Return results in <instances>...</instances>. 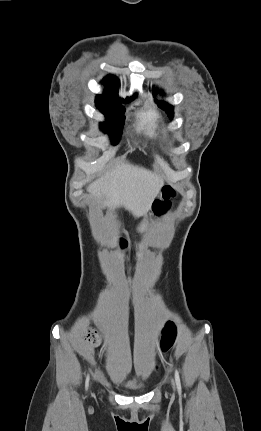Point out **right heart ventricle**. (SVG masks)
<instances>
[{
  "mask_svg": "<svg viewBox=\"0 0 261 431\" xmlns=\"http://www.w3.org/2000/svg\"><path fill=\"white\" fill-rule=\"evenodd\" d=\"M138 128L148 138L162 143L167 142L165 131L161 126L159 112L151 105H147L137 116Z\"/></svg>",
  "mask_w": 261,
  "mask_h": 431,
  "instance_id": "e07e8e85",
  "label": "right heart ventricle"
}]
</instances>
